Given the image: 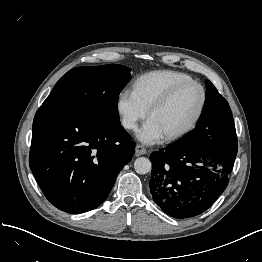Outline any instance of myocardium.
Here are the masks:
<instances>
[{
    "label": "myocardium",
    "mask_w": 262,
    "mask_h": 262,
    "mask_svg": "<svg viewBox=\"0 0 262 262\" xmlns=\"http://www.w3.org/2000/svg\"><path fill=\"white\" fill-rule=\"evenodd\" d=\"M188 86H196L201 93V99H200V103L198 106V109L196 111V113L194 114L193 118L190 120V122L181 130L168 134L165 136V140L166 141H176L179 140L185 136H187L189 133H191L195 127L197 126L205 105H206V101H207V92L205 87L195 81V80H187V81H183L181 83L176 84L175 86H173L169 91H167L158 101H156L148 110V117L151 118V116L157 112L158 110L162 109L163 107H165L171 100L172 98L183 88L188 87Z\"/></svg>",
    "instance_id": "myocardium-1"
}]
</instances>
